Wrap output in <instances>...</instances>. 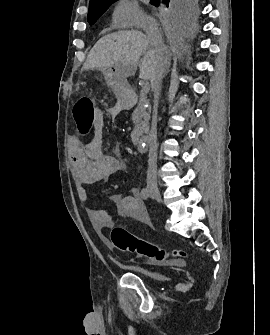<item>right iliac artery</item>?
<instances>
[{
	"instance_id": "right-iliac-artery-1",
	"label": "right iliac artery",
	"mask_w": 270,
	"mask_h": 335,
	"mask_svg": "<svg viewBox=\"0 0 270 335\" xmlns=\"http://www.w3.org/2000/svg\"><path fill=\"white\" fill-rule=\"evenodd\" d=\"M149 196H150V194H149V191L147 190V188H143L141 190V197H142V199L146 200V199L149 198Z\"/></svg>"
}]
</instances>
